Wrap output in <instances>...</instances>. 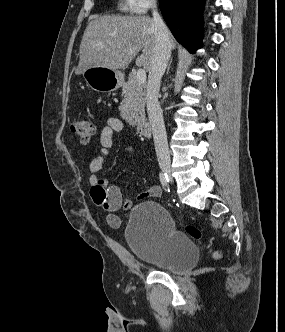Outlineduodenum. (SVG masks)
<instances>
[{"instance_id": "duodenum-1", "label": "duodenum", "mask_w": 285, "mask_h": 332, "mask_svg": "<svg viewBox=\"0 0 285 332\" xmlns=\"http://www.w3.org/2000/svg\"><path fill=\"white\" fill-rule=\"evenodd\" d=\"M137 130L143 137H149L151 135V126L148 122H143L138 125Z\"/></svg>"}]
</instances>
